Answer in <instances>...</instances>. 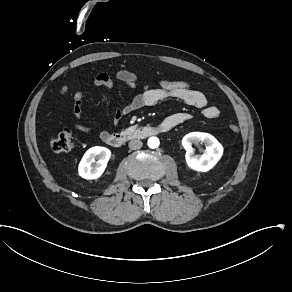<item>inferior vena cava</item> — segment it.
<instances>
[{"mask_svg": "<svg viewBox=\"0 0 292 292\" xmlns=\"http://www.w3.org/2000/svg\"><path fill=\"white\" fill-rule=\"evenodd\" d=\"M142 142L140 140H131L129 142V148L132 150H137L140 149L142 147Z\"/></svg>", "mask_w": 292, "mask_h": 292, "instance_id": "1", "label": "inferior vena cava"}]
</instances>
